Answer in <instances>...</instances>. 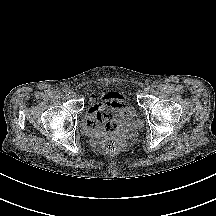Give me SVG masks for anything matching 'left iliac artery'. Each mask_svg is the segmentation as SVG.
<instances>
[{"instance_id": "left-iliac-artery-1", "label": "left iliac artery", "mask_w": 216, "mask_h": 216, "mask_svg": "<svg viewBox=\"0 0 216 216\" xmlns=\"http://www.w3.org/2000/svg\"><path fill=\"white\" fill-rule=\"evenodd\" d=\"M150 90H154L155 89V86L154 85H151L149 86Z\"/></svg>"}]
</instances>
